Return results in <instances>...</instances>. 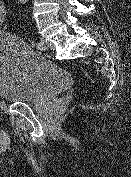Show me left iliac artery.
Here are the masks:
<instances>
[{"label":"left iliac artery","instance_id":"left-iliac-artery-1","mask_svg":"<svg viewBox=\"0 0 131 177\" xmlns=\"http://www.w3.org/2000/svg\"><path fill=\"white\" fill-rule=\"evenodd\" d=\"M36 47L38 48V49H41L42 48V43L41 42H36Z\"/></svg>","mask_w":131,"mask_h":177}]
</instances>
